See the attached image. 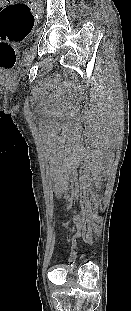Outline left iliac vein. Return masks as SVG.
<instances>
[{"mask_svg":"<svg viewBox=\"0 0 131 311\" xmlns=\"http://www.w3.org/2000/svg\"><path fill=\"white\" fill-rule=\"evenodd\" d=\"M36 2H37V9H38L39 11H41V8H42V0H36Z\"/></svg>","mask_w":131,"mask_h":311,"instance_id":"1","label":"left iliac vein"}]
</instances>
